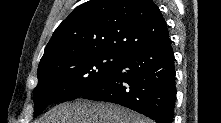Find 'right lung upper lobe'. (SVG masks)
<instances>
[{
	"mask_svg": "<svg viewBox=\"0 0 221 123\" xmlns=\"http://www.w3.org/2000/svg\"><path fill=\"white\" fill-rule=\"evenodd\" d=\"M169 39L166 22L152 0H90L54 31L39 66L92 50L130 53Z\"/></svg>",
	"mask_w": 221,
	"mask_h": 123,
	"instance_id": "1",
	"label": "right lung upper lobe"
}]
</instances>
